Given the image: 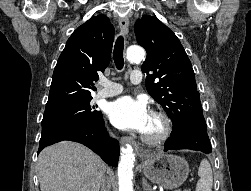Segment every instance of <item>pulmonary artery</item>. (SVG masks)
I'll return each instance as SVG.
<instances>
[{"instance_id":"pulmonary-artery-1","label":"pulmonary artery","mask_w":251,"mask_h":191,"mask_svg":"<svg viewBox=\"0 0 251 191\" xmlns=\"http://www.w3.org/2000/svg\"><path fill=\"white\" fill-rule=\"evenodd\" d=\"M142 78L143 76L139 70H134L130 74V81L133 84H139L142 81ZM98 84L100 89L97 92V97L100 98L112 97L123 91V86L121 84L111 82L106 78H100Z\"/></svg>"}]
</instances>
